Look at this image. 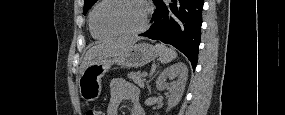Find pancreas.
<instances>
[{
    "mask_svg": "<svg viewBox=\"0 0 285 115\" xmlns=\"http://www.w3.org/2000/svg\"><path fill=\"white\" fill-rule=\"evenodd\" d=\"M128 77L130 79H132L133 82L135 84H137L139 87H141V88L144 87L145 80L143 79L141 72H139V71L138 72H130V73H128Z\"/></svg>",
    "mask_w": 285,
    "mask_h": 115,
    "instance_id": "1",
    "label": "pancreas"
}]
</instances>
